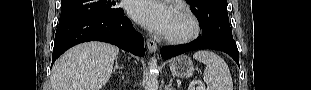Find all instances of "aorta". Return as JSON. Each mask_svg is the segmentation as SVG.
Segmentation results:
<instances>
[{"label":"aorta","mask_w":311,"mask_h":90,"mask_svg":"<svg viewBox=\"0 0 311 90\" xmlns=\"http://www.w3.org/2000/svg\"><path fill=\"white\" fill-rule=\"evenodd\" d=\"M149 76L146 82L145 90H158L159 84L157 80L158 64L157 59L152 57L148 63Z\"/></svg>","instance_id":"1"}]
</instances>
